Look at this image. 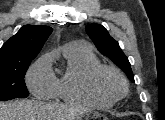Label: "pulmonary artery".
<instances>
[{
  "label": "pulmonary artery",
  "instance_id": "obj_1",
  "mask_svg": "<svg viewBox=\"0 0 165 120\" xmlns=\"http://www.w3.org/2000/svg\"><path fill=\"white\" fill-rule=\"evenodd\" d=\"M81 44L80 43H73V44H70V46H80Z\"/></svg>",
  "mask_w": 165,
  "mask_h": 120
}]
</instances>
